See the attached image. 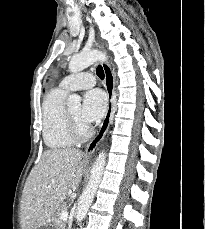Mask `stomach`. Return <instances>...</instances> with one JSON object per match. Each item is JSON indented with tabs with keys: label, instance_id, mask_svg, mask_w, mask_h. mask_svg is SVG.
Listing matches in <instances>:
<instances>
[{
	"label": "stomach",
	"instance_id": "0dacf381",
	"mask_svg": "<svg viewBox=\"0 0 205 229\" xmlns=\"http://www.w3.org/2000/svg\"><path fill=\"white\" fill-rule=\"evenodd\" d=\"M40 229H56V226L52 221H48Z\"/></svg>",
	"mask_w": 205,
	"mask_h": 229
}]
</instances>
